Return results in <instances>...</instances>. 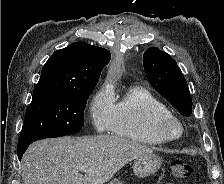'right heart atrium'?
<instances>
[{
    "mask_svg": "<svg viewBox=\"0 0 224 184\" xmlns=\"http://www.w3.org/2000/svg\"><path fill=\"white\" fill-rule=\"evenodd\" d=\"M113 102V93L107 88L100 89L90 100L89 116L98 131L109 129Z\"/></svg>",
    "mask_w": 224,
    "mask_h": 184,
    "instance_id": "d8ad5b80",
    "label": "right heart atrium"
}]
</instances>
